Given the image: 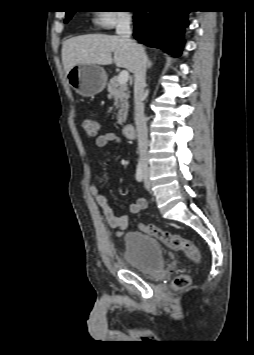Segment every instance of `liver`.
<instances>
[{"mask_svg":"<svg viewBox=\"0 0 254 355\" xmlns=\"http://www.w3.org/2000/svg\"><path fill=\"white\" fill-rule=\"evenodd\" d=\"M114 53V58H112ZM62 62L66 74L78 64L110 65L134 72L135 59L131 47L119 36L89 34L70 38L62 46Z\"/></svg>","mask_w":254,"mask_h":355,"instance_id":"liver-1","label":"liver"}]
</instances>
